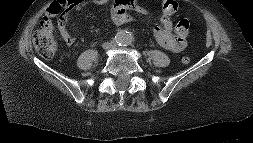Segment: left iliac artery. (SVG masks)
Wrapping results in <instances>:
<instances>
[{
    "instance_id": "obj_1",
    "label": "left iliac artery",
    "mask_w": 253,
    "mask_h": 143,
    "mask_svg": "<svg viewBox=\"0 0 253 143\" xmlns=\"http://www.w3.org/2000/svg\"><path fill=\"white\" fill-rule=\"evenodd\" d=\"M131 42H132V38H129L127 41V44H131Z\"/></svg>"
}]
</instances>
